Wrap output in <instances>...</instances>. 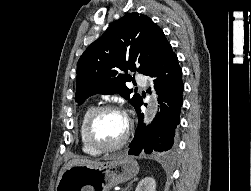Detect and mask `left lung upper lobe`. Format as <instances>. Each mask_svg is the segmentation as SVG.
Returning <instances> with one entry per match:
<instances>
[{"label":"left lung upper lobe","mask_w":251,"mask_h":191,"mask_svg":"<svg viewBox=\"0 0 251 191\" xmlns=\"http://www.w3.org/2000/svg\"><path fill=\"white\" fill-rule=\"evenodd\" d=\"M171 49L160 27L146 15L128 13L113 22L93 42L77 63L76 98L81 105L88 96L119 93L134 108L141 101L126 86L128 70L151 75L162 56Z\"/></svg>","instance_id":"left-lung-upper-lobe-1"}]
</instances>
